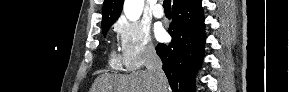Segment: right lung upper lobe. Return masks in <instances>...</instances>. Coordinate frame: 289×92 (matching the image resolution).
Wrapping results in <instances>:
<instances>
[{
	"label": "right lung upper lobe",
	"mask_w": 289,
	"mask_h": 92,
	"mask_svg": "<svg viewBox=\"0 0 289 92\" xmlns=\"http://www.w3.org/2000/svg\"><path fill=\"white\" fill-rule=\"evenodd\" d=\"M193 0H174L173 7L191 3ZM124 0H105L102 12V28L112 25L120 16ZM172 7V8H173Z\"/></svg>",
	"instance_id": "right-lung-upper-lobe-1"
}]
</instances>
